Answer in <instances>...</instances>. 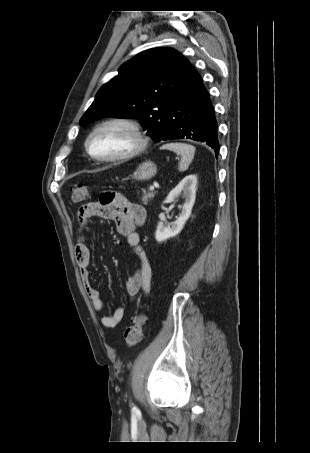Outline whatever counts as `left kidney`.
Wrapping results in <instances>:
<instances>
[{"label":"left kidney","instance_id":"1","mask_svg":"<svg viewBox=\"0 0 310 453\" xmlns=\"http://www.w3.org/2000/svg\"><path fill=\"white\" fill-rule=\"evenodd\" d=\"M196 185L197 177L195 175H188L183 180H181L173 190L170 191L165 199V203L174 202L175 199L179 196L185 198V202L182 206V210L178 219L174 221L171 226L165 225L163 222L158 223L155 232V239L157 242H163L181 232L186 221L191 215V211L195 203L197 189Z\"/></svg>","mask_w":310,"mask_h":453}]
</instances>
